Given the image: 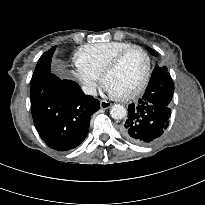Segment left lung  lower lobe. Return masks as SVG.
Listing matches in <instances>:
<instances>
[{"instance_id": "obj_1", "label": "left lung lower lobe", "mask_w": 205, "mask_h": 205, "mask_svg": "<svg viewBox=\"0 0 205 205\" xmlns=\"http://www.w3.org/2000/svg\"><path fill=\"white\" fill-rule=\"evenodd\" d=\"M170 116V105L166 101L141 98L138 103L128 106V118L121 127V133L135 144H151L164 133Z\"/></svg>"}]
</instances>
